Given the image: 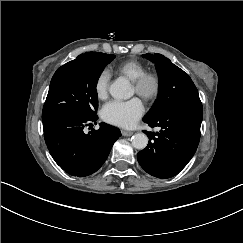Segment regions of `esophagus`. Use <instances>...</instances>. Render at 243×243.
<instances>
[{"label": "esophagus", "instance_id": "esophagus-1", "mask_svg": "<svg viewBox=\"0 0 243 243\" xmlns=\"http://www.w3.org/2000/svg\"><path fill=\"white\" fill-rule=\"evenodd\" d=\"M121 133H122L123 136H132L134 134L131 131H125V130H122Z\"/></svg>", "mask_w": 243, "mask_h": 243}]
</instances>
